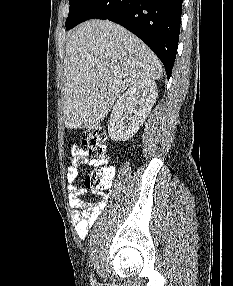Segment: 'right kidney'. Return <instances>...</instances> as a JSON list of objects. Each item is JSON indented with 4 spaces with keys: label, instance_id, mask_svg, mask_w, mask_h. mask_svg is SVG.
I'll return each instance as SVG.
<instances>
[{
    "label": "right kidney",
    "instance_id": "1",
    "mask_svg": "<svg viewBox=\"0 0 233 286\" xmlns=\"http://www.w3.org/2000/svg\"><path fill=\"white\" fill-rule=\"evenodd\" d=\"M157 98V85L152 79H142L131 85L113 106L108 134L113 141L130 139L149 115Z\"/></svg>",
    "mask_w": 233,
    "mask_h": 286
}]
</instances>
